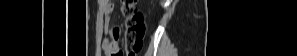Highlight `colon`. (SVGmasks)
<instances>
[{"instance_id": "5ec220e1", "label": "colon", "mask_w": 297, "mask_h": 56, "mask_svg": "<svg viewBox=\"0 0 297 56\" xmlns=\"http://www.w3.org/2000/svg\"><path fill=\"white\" fill-rule=\"evenodd\" d=\"M121 13L125 18V52L127 56H136L142 49L145 35L144 17L138 9L137 0H123ZM120 50L114 56H123Z\"/></svg>"}]
</instances>
